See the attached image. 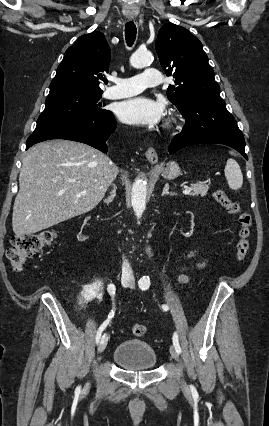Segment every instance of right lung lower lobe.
<instances>
[{
    "mask_svg": "<svg viewBox=\"0 0 269 426\" xmlns=\"http://www.w3.org/2000/svg\"><path fill=\"white\" fill-rule=\"evenodd\" d=\"M117 123L111 111L102 115L72 121L32 134L26 142V149L32 145L50 139H67L88 144L106 153L109 136L116 129Z\"/></svg>",
    "mask_w": 269,
    "mask_h": 426,
    "instance_id": "98d812e1",
    "label": "right lung lower lobe"
}]
</instances>
